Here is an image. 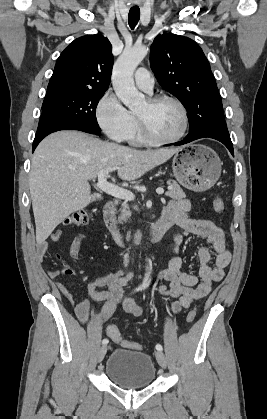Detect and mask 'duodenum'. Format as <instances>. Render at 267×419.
Listing matches in <instances>:
<instances>
[{"instance_id": "1", "label": "duodenum", "mask_w": 267, "mask_h": 419, "mask_svg": "<svg viewBox=\"0 0 267 419\" xmlns=\"http://www.w3.org/2000/svg\"><path fill=\"white\" fill-rule=\"evenodd\" d=\"M115 212V204L111 201L107 202L103 208V219L105 226L107 227L114 240L122 244L124 242V236L116 221ZM172 225V221L161 216L150 231V241L158 242L164 236V234L171 228Z\"/></svg>"}]
</instances>
